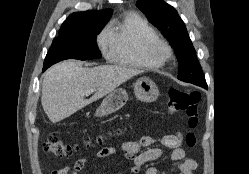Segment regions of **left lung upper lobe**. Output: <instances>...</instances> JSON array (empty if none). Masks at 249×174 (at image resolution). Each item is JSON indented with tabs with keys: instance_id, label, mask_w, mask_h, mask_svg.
<instances>
[{
	"instance_id": "left-lung-upper-lobe-1",
	"label": "left lung upper lobe",
	"mask_w": 249,
	"mask_h": 174,
	"mask_svg": "<svg viewBox=\"0 0 249 174\" xmlns=\"http://www.w3.org/2000/svg\"><path fill=\"white\" fill-rule=\"evenodd\" d=\"M136 5L174 48L179 62L178 79L189 83L205 79L186 26L177 11L163 0H139Z\"/></svg>"
}]
</instances>
